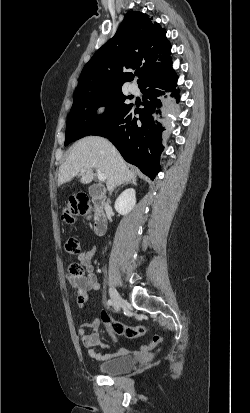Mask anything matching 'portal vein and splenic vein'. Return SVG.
<instances>
[{"mask_svg":"<svg viewBox=\"0 0 250 413\" xmlns=\"http://www.w3.org/2000/svg\"><path fill=\"white\" fill-rule=\"evenodd\" d=\"M96 171H97L98 179L101 182H104L106 180V175L104 173H102L99 168H97Z\"/></svg>","mask_w":250,"mask_h":413,"instance_id":"18ae733b","label":"portal vein and splenic vein"}]
</instances>
